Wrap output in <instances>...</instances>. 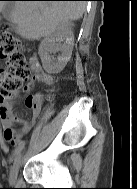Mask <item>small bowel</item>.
<instances>
[{
  "label": "small bowel",
  "instance_id": "small-bowel-1",
  "mask_svg": "<svg viewBox=\"0 0 137 189\" xmlns=\"http://www.w3.org/2000/svg\"><path fill=\"white\" fill-rule=\"evenodd\" d=\"M33 69L34 75L32 78V83L42 81L49 86L54 84V77L51 74L45 72L40 65H35ZM32 97L34 100L33 105L31 107L27 106L31 111V117L29 120L22 119L13 113L12 105L9 101H5L0 104V117L2 120L4 138L16 148L23 144L24 135L36 123V120L41 111L43 95L37 93Z\"/></svg>",
  "mask_w": 137,
  "mask_h": 189
}]
</instances>
